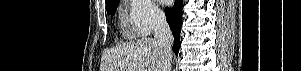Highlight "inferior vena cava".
Returning <instances> with one entry per match:
<instances>
[{
    "mask_svg": "<svg viewBox=\"0 0 301 71\" xmlns=\"http://www.w3.org/2000/svg\"><path fill=\"white\" fill-rule=\"evenodd\" d=\"M154 36L157 41L161 52L164 55V67L163 71L171 70V50L174 41L171 29L166 21L165 15L162 13H156L154 15Z\"/></svg>",
    "mask_w": 301,
    "mask_h": 71,
    "instance_id": "602c4592",
    "label": "inferior vena cava"
}]
</instances>
